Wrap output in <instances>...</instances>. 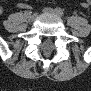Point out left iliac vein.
<instances>
[{
	"label": "left iliac vein",
	"mask_w": 91,
	"mask_h": 91,
	"mask_svg": "<svg viewBox=\"0 0 91 91\" xmlns=\"http://www.w3.org/2000/svg\"><path fill=\"white\" fill-rule=\"evenodd\" d=\"M43 12L50 13V14H54V15H58L59 16V14L56 12V10H54L52 8H44L43 9Z\"/></svg>",
	"instance_id": "1"
}]
</instances>
